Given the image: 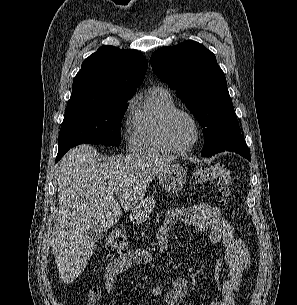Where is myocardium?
Returning <instances> with one entry per match:
<instances>
[{"instance_id":"obj_1","label":"myocardium","mask_w":297,"mask_h":305,"mask_svg":"<svg viewBox=\"0 0 297 305\" xmlns=\"http://www.w3.org/2000/svg\"><path fill=\"white\" fill-rule=\"evenodd\" d=\"M178 114L186 116L193 124L194 129H195V138L194 140L187 146L185 147H178L174 145L170 139L169 136V123L172 120V118ZM159 134L162 142L164 145L173 153L176 154H185L190 152L194 147L197 145V143L200 140L201 137V127L196 119V117L190 113L189 111L181 108H172L169 111H167L161 118L160 124H159Z\"/></svg>"}]
</instances>
